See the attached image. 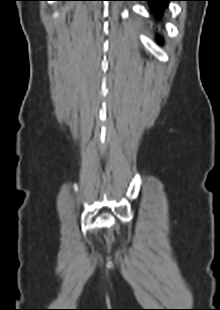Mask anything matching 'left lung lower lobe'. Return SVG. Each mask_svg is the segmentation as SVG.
<instances>
[{"label": "left lung lower lobe", "mask_w": 220, "mask_h": 310, "mask_svg": "<svg viewBox=\"0 0 220 310\" xmlns=\"http://www.w3.org/2000/svg\"><path fill=\"white\" fill-rule=\"evenodd\" d=\"M143 1L149 2V5L151 7V13L154 15L155 18H159L163 13V9L168 6V3L170 1H176V0H143Z\"/></svg>", "instance_id": "0a47b994"}]
</instances>
